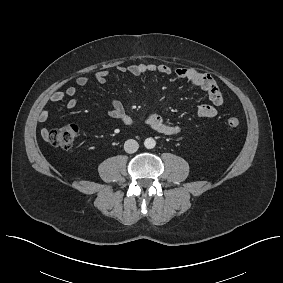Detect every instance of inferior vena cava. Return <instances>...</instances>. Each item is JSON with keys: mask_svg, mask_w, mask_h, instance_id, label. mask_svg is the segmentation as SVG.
<instances>
[{"mask_svg": "<svg viewBox=\"0 0 283 283\" xmlns=\"http://www.w3.org/2000/svg\"><path fill=\"white\" fill-rule=\"evenodd\" d=\"M138 148H139V144L134 139H129L124 143V150L129 154L135 153L138 150Z\"/></svg>", "mask_w": 283, "mask_h": 283, "instance_id": "602c4592", "label": "inferior vena cava"}]
</instances>
